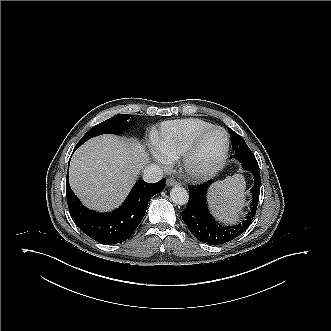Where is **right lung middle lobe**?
<instances>
[{
    "instance_id": "1",
    "label": "right lung middle lobe",
    "mask_w": 331,
    "mask_h": 331,
    "mask_svg": "<svg viewBox=\"0 0 331 331\" xmlns=\"http://www.w3.org/2000/svg\"><path fill=\"white\" fill-rule=\"evenodd\" d=\"M131 115L129 114H121L113 116L108 120L92 127L78 142V145H82L88 139L98 136L104 133H111V134H120L128 127V119Z\"/></svg>"
}]
</instances>
